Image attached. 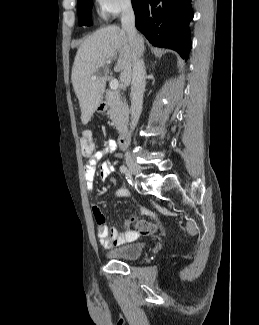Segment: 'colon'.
I'll return each mask as SVG.
<instances>
[{
    "instance_id": "obj_1",
    "label": "colon",
    "mask_w": 259,
    "mask_h": 325,
    "mask_svg": "<svg viewBox=\"0 0 259 325\" xmlns=\"http://www.w3.org/2000/svg\"><path fill=\"white\" fill-rule=\"evenodd\" d=\"M80 151L84 157H89L94 151V141L89 131H84L80 136ZM136 230L144 235H152L160 231L159 223L154 219L148 220H134L131 219Z\"/></svg>"
}]
</instances>
